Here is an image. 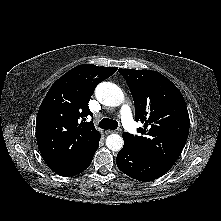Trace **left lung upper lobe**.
<instances>
[{
	"label": "left lung upper lobe",
	"mask_w": 221,
	"mask_h": 221,
	"mask_svg": "<svg viewBox=\"0 0 221 221\" xmlns=\"http://www.w3.org/2000/svg\"><path fill=\"white\" fill-rule=\"evenodd\" d=\"M135 103V120L144 123L141 136L123 133L138 151L173 166L189 134V114L179 89L165 76L151 70L119 69Z\"/></svg>",
	"instance_id": "obj_1"
}]
</instances>
